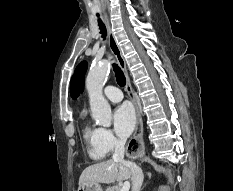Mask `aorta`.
Wrapping results in <instances>:
<instances>
[{"mask_svg": "<svg viewBox=\"0 0 233 191\" xmlns=\"http://www.w3.org/2000/svg\"><path fill=\"white\" fill-rule=\"evenodd\" d=\"M108 61L93 66L86 78V88L89 94L92 118L100 126L109 127L112 122L111 107L104 98L102 90L109 73Z\"/></svg>", "mask_w": 233, "mask_h": 191, "instance_id": "1", "label": "aorta"}]
</instances>
